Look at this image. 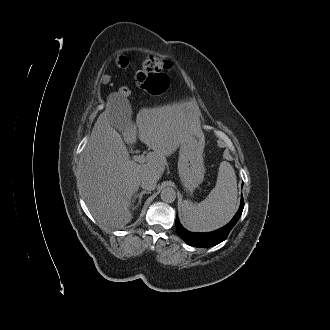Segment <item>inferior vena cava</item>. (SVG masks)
<instances>
[{
  "instance_id": "1",
  "label": "inferior vena cava",
  "mask_w": 330,
  "mask_h": 330,
  "mask_svg": "<svg viewBox=\"0 0 330 330\" xmlns=\"http://www.w3.org/2000/svg\"><path fill=\"white\" fill-rule=\"evenodd\" d=\"M141 187L145 190H154L157 185V179L154 175L146 174L141 178Z\"/></svg>"
}]
</instances>
